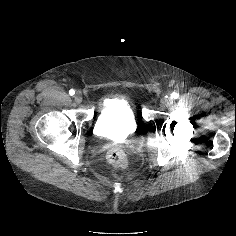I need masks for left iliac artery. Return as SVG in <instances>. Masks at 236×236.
I'll use <instances>...</instances> for the list:
<instances>
[{
  "label": "left iliac artery",
  "mask_w": 236,
  "mask_h": 236,
  "mask_svg": "<svg viewBox=\"0 0 236 236\" xmlns=\"http://www.w3.org/2000/svg\"><path fill=\"white\" fill-rule=\"evenodd\" d=\"M178 93H176V92H173L172 94H171V97L172 98H174V99H176V98H178Z\"/></svg>",
  "instance_id": "1"
}]
</instances>
